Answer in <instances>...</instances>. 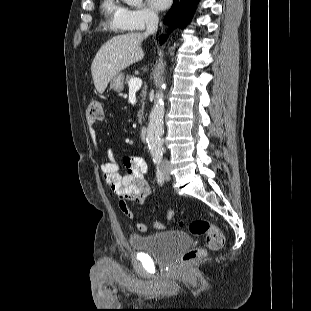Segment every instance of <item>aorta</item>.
Listing matches in <instances>:
<instances>
[{"mask_svg": "<svg viewBox=\"0 0 311 311\" xmlns=\"http://www.w3.org/2000/svg\"><path fill=\"white\" fill-rule=\"evenodd\" d=\"M124 2L129 5H141L143 0H124ZM163 90H165L164 83L160 86V89L156 93V98L149 115V123L147 127L146 141L150 153L154 159H160L163 152V116L165 113Z\"/></svg>", "mask_w": 311, "mask_h": 311, "instance_id": "762f6f07", "label": "aorta"}]
</instances>
